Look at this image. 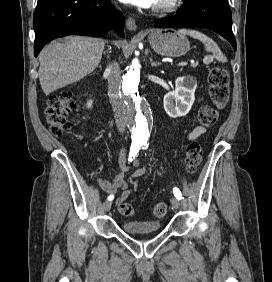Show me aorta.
<instances>
[{
	"mask_svg": "<svg viewBox=\"0 0 272 282\" xmlns=\"http://www.w3.org/2000/svg\"><path fill=\"white\" fill-rule=\"evenodd\" d=\"M140 67L134 59L122 81L126 118L134 140L148 139L151 125V109L140 92Z\"/></svg>",
	"mask_w": 272,
	"mask_h": 282,
	"instance_id": "1",
	"label": "aorta"
}]
</instances>
